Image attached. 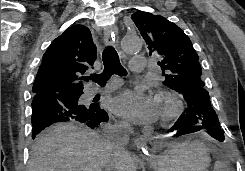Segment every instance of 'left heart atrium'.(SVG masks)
I'll return each mask as SVG.
<instances>
[{"label": "left heart atrium", "instance_id": "39dd6f15", "mask_svg": "<svg viewBox=\"0 0 245 171\" xmlns=\"http://www.w3.org/2000/svg\"><path fill=\"white\" fill-rule=\"evenodd\" d=\"M111 110L136 124L151 123L160 115L158 100L143 87L120 93L112 100Z\"/></svg>", "mask_w": 245, "mask_h": 171}]
</instances>
